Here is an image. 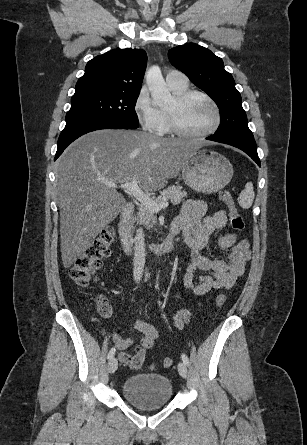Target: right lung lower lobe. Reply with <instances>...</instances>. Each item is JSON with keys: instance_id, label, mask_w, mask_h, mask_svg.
Wrapping results in <instances>:
<instances>
[{"instance_id": "98d812e1", "label": "right lung lower lobe", "mask_w": 307, "mask_h": 445, "mask_svg": "<svg viewBox=\"0 0 307 445\" xmlns=\"http://www.w3.org/2000/svg\"><path fill=\"white\" fill-rule=\"evenodd\" d=\"M128 125L112 121V120H82L66 124L64 130L61 132L58 140V148L55 155L56 160L66 147L78 137L95 130L100 129H128Z\"/></svg>"}]
</instances>
